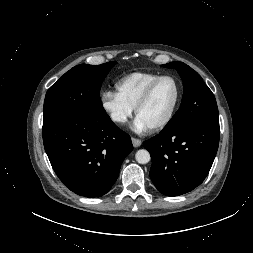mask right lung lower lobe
I'll return each mask as SVG.
<instances>
[{"label":"right lung lower lobe","mask_w":253,"mask_h":253,"mask_svg":"<svg viewBox=\"0 0 253 253\" xmlns=\"http://www.w3.org/2000/svg\"><path fill=\"white\" fill-rule=\"evenodd\" d=\"M45 151L56 175L74 193L101 197L133 150L130 137L107 114L66 115L43 124Z\"/></svg>","instance_id":"98d812e1"}]
</instances>
